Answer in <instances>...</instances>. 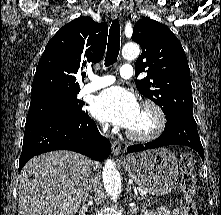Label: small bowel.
Returning <instances> with one entry per match:
<instances>
[{
	"mask_svg": "<svg viewBox=\"0 0 221 215\" xmlns=\"http://www.w3.org/2000/svg\"><path fill=\"white\" fill-rule=\"evenodd\" d=\"M142 215H184L180 209H168L160 207L157 210H144Z\"/></svg>",
	"mask_w": 221,
	"mask_h": 215,
	"instance_id": "c3829d8e",
	"label": "small bowel"
}]
</instances>
